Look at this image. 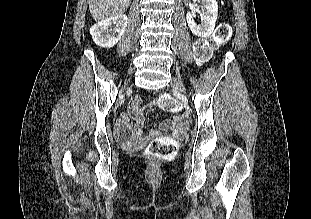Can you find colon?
I'll use <instances>...</instances> for the list:
<instances>
[{
  "instance_id": "obj_1",
  "label": "colon",
  "mask_w": 311,
  "mask_h": 219,
  "mask_svg": "<svg viewBox=\"0 0 311 219\" xmlns=\"http://www.w3.org/2000/svg\"><path fill=\"white\" fill-rule=\"evenodd\" d=\"M231 37V27L228 23L223 22L217 25L214 33L207 37L198 39L194 44V55L199 61H207L213 49L225 44ZM156 104L165 111L173 112L177 109V103L174 99L165 94H160ZM125 133V132H124ZM120 140H122V136ZM178 145L176 141L167 137H156L151 140L146 149V154L152 158L168 159L172 158L177 152Z\"/></svg>"
}]
</instances>
